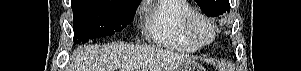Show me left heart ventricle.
Returning <instances> with one entry per match:
<instances>
[{"mask_svg": "<svg viewBox=\"0 0 301 71\" xmlns=\"http://www.w3.org/2000/svg\"><path fill=\"white\" fill-rule=\"evenodd\" d=\"M197 29L200 37H202L203 39L209 38L210 30L207 26H205L204 24H199Z\"/></svg>", "mask_w": 301, "mask_h": 71, "instance_id": "b2bd125f", "label": "left heart ventricle"}]
</instances>
